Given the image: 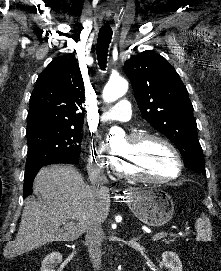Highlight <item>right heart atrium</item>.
I'll return each mask as SVG.
<instances>
[{"instance_id": "d8ad5b80", "label": "right heart atrium", "mask_w": 221, "mask_h": 271, "mask_svg": "<svg viewBox=\"0 0 221 271\" xmlns=\"http://www.w3.org/2000/svg\"><path fill=\"white\" fill-rule=\"evenodd\" d=\"M93 157L95 159H105V154H95ZM94 165L96 167H99L101 164L99 162H96Z\"/></svg>"}]
</instances>
